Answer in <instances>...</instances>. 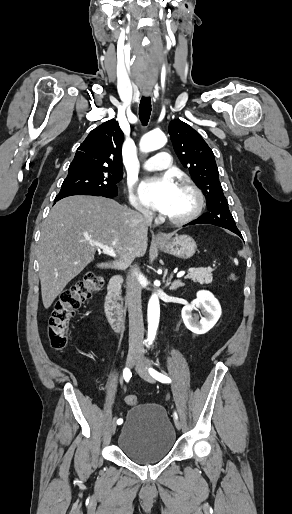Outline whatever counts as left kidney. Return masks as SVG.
<instances>
[{"instance_id": "5707ae66", "label": "left kidney", "mask_w": 292, "mask_h": 514, "mask_svg": "<svg viewBox=\"0 0 292 514\" xmlns=\"http://www.w3.org/2000/svg\"><path fill=\"white\" fill-rule=\"evenodd\" d=\"M197 308L203 314L201 320H199L197 314H193V310H197ZM221 314V306L218 300L214 298L211 292H206V290L197 292L196 300H193L191 304H187L181 310L182 320L186 328L191 330L193 334H206V332H209L218 322Z\"/></svg>"}]
</instances>
